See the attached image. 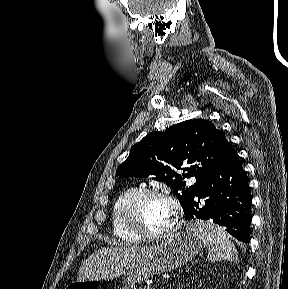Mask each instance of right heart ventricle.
<instances>
[{
	"label": "right heart ventricle",
	"mask_w": 288,
	"mask_h": 289,
	"mask_svg": "<svg viewBox=\"0 0 288 289\" xmlns=\"http://www.w3.org/2000/svg\"><path fill=\"white\" fill-rule=\"evenodd\" d=\"M137 192L134 186L127 187L115 198L111 208V224L114 236L125 244H136L140 239L132 235L122 221V209L125 203Z\"/></svg>",
	"instance_id": "obj_1"
}]
</instances>
